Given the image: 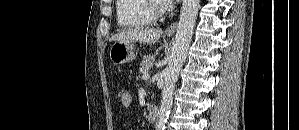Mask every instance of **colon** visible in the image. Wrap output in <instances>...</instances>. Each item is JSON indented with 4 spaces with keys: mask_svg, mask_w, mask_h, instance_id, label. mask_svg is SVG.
I'll return each mask as SVG.
<instances>
[{
    "mask_svg": "<svg viewBox=\"0 0 299 130\" xmlns=\"http://www.w3.org/2000/svg\"><path fill=\"white\" fill-rule=\"evenodd\" d=\"M133 100V94L130 90H124L120 94V102L123 106L128 107Z\"/></svg>",
    "mask_w": 299,
    "mask_h": 130,
    "instance_id": "1",
    "label": "colon"
}]
</instances>
